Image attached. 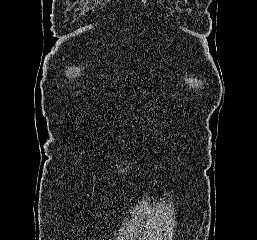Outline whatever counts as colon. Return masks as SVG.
I'll use <instances>...</instances> for the list:
<instances>
[{
    "label": "colon",
    "mask_w": 257,
    "mask_h": 240,
    "mask_svg": "<svg viewBox=\"0 0 257 240\" xmlns=\"http://www.w3.org/2000/svg\"><path fill=\"white\" fill-rule=\"evenodd\" d=\"M127 233H128V230H127V229H123V230H122V235H123V236H126Z\"/></svg>",
    "instance_id": "colon-1"
}]
</instances>
